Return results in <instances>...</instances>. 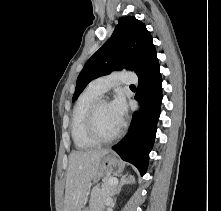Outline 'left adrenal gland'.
Segmentation results:
<instances>
[{"label":"left adrenal gland","instance_id":"1","mask_svg":"<svg viewBox=\"0 0 221 211\" xmlns=\"http://www.w3.org/2000/svg\"><path fill=\"white\" fill-rule=\"evenodd\" d=\"M131 181H133V180L131 179V177H128L127 174L124 175V176H121L119 185H118L117 188L115 189V193H116V194H119L120 191H121V188H122L125 184L130 183Z\"/></svg>","mask_w":221,"mask_h":211}]
</instances>
